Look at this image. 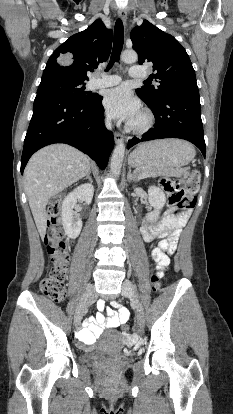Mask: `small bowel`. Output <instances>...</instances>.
Instances as JSON below:
<instances>
[{"mask_svg":"<svg viewBox=\"0 0 233 414\" xmlns=\"http://www.w3.org/2000/svg\"><path fill=\"white\" fill-rule=\"evenodd\" d=\"M185 222L186 218H176L171 211H168L160 223L152 225L145 222L141 226V234L145 242L160 239L158 247L154 249L160 252V256L155 259V275L158 278L164 275L170 262L165 251L168 250L170 241H174L179 236ZM111 306L113 308L105 307L104 300L93 302V307H97L99 312L95 317L87 319L84 327L79 330L78 338L82 344L91 345L103 329L117 328L128 321L130 314L126 307L117 301H112Z\"/></svg>","mask_w":233,"mask_h":414,"instance_id":"1","label":"small bowel"}]
</instances>
